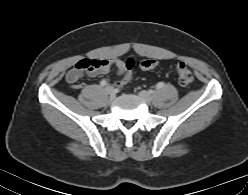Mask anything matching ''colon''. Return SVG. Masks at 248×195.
<instances>
[{"mask_svg":"<svg viewBox=\"0 0 248 195\" xmlns=\"http://www.w3.org/2000/svg\"><path fill=\"white\" fill-rule=\"evenodd\" d=\"M91 61L92 60L89 59L82 60L78 62L73 68H71L66 77L68 83L74 84L78 82L85 74H87L91 70ZM157 65L158 62L154 59H144L139 62V67L145 71L152 70L156 68ZM134 66L135 61L133 59L130 58L125 61L126 73L120 80L119 84L121 86L126 85L130 81ZM176 72L178 83L181 86L187 87L192 84L194 79L193 73L186 64L179 63L176 67Z\"/></svg>","mask_w":248,"mask_h":195,"instance_id":"1","label":"colon"}]
</instances>
